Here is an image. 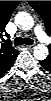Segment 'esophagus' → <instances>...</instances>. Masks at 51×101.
Listing matches in <instances>:
<instances>
[{
  "mask_svg": "<svg viewBox=\"0 0 51 101\" xmlns=\"http://www.w3.org/2000/svg\"><path fill=\"white\" fill-rule=\"evenodd\" d=\"M34 46H35V44H32V45H29V46H27V47H29V48H34Z\"/></svg>",
  "mask_w": 51,
  "mask_h": 101,
  "instance_id": "esophagus-1",
  "label": "esophagus"
}]
</instances>
